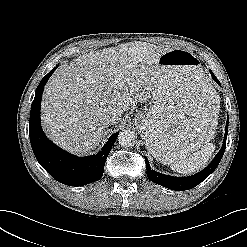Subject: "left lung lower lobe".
<instances>
[{"label": "left lung lower lobe", "instance_id": "obj_1", "mask_svg": "<svg viewBox=\"0 0 247 247\" xmlns=\"http://www.w3.org/2000/svg\"><path fill=\"white\" fill-rule=\"evenodd\" d=\"M210 73H211L213 79L220 85L219 80L215 77V75L213 74V72L211 70H210ZM227 133H228V118H227V123H226V127H225V136H224L222 148L217 153V155L212 160V162L205 169H203L201 172H199L195 175H192V176H188V177L167 176V175L158 173L154 170H151V168L148 164V160L145 158L148 178L151 181H153V182H155L161 186H164L168 189L177 190V191L188 190V189H191V188L197 186L199 183H201L203 180H205L216 169L219 162L221 161L222 156H223L224 151H225V147H226Z\"/></svg>", "mask_w": 247, "mask_h": 247}]
</instances>
